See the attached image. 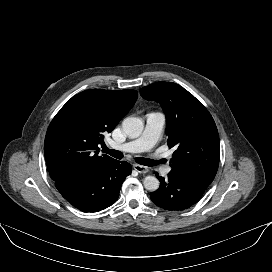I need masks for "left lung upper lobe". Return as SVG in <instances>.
I'll list each match as a JSON object with an SVG mask.
<instances>
[{
    "mask_svg": "<svg viewBox=\"0 0 272 272\" xmlns=\"http://www.w3.org/2000/svg\"><path fill=\"white\" fill-rule=\"evenodd\" d=\"M143 98L161 104L166 115L168 146L175 151L172 170L210 184L218 170L219 135L205 106L172 82H157L140 90Z\"/></svg>",
    "mask_w": 272,
    "mask_h": 272,
    "instance_id": "obj_1",
    "label": "left lung upper lobe"
}]
</instances>
